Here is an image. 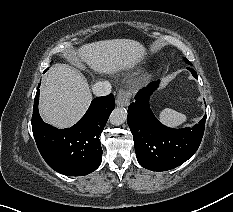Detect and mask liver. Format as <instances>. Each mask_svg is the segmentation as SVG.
Here are the masks:
<instances>
[{"instance_id":"6515ba94","label":"liver","mask_w":233,"mask_h":212,"mask_svg":"<svg viewBox=\"0 0 233 212\" xmlns=\"http://www.w3.org/2000/svg\"><path fill=\"white\" fill-rule=\"evenodd\" d=\"M145 53L138 41L112 39L82 45L70 56L87 63L97 73L114 74L134 67ZM91 100L85 77L75 68L58 63L42 79L39 112L46 123L66 128L83 116Z\"/></svg>"}]
</instances>
